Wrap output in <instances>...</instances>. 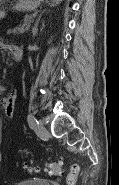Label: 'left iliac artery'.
Masks as SVG:
<instances>
[{
	"mask_svg": "<svg viewBox=\"0 0 119 185\" xmlns=\"http://www.w3.org/2000/svg\"><path fill=\"white\" fill-rule=\"evenodd\" d=\"M27 120H28V124H29L31 129L38 128V121H37V119L35 118L34 115L29 114L28 117H27Z\"/></svg>",
	"mask_w": 119,
	"mask_h": 185,
	"instance_id": "1",
	"label": "left iliac artery"
}]
</instances>
